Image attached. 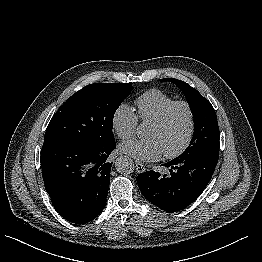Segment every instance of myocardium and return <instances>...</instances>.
Listing matches in <instances>:
<instances>
[{
	"label": "myocardium",
	"instance_id": "1",
	"mask_svg": "<svg viewBox=\"0 0 262 262\" xmlns=\"http://www.w3.org/2000/svg\"><path fill=\"white\" fill-rule=\"evenodd\" d=\"M178 106H184L187 111H188V115H189V129H188V133L187 136L184 140V142L182 143V145L176 149L173 152L170 153H164V157L167 159H174L179 157L180 155H182L190 146L193 137H194V133H195V129H196V115H195V110L192 106V104L186 100H177L172 102L170 105H168L163 111L162 113L151 122L152 125L161 127L163 125H165V123L167 122L170 114L172 113V111L178 107Z\"/></svg>",
	"mask_w": 262,
	"mask_h": 262
}]
</instances>
